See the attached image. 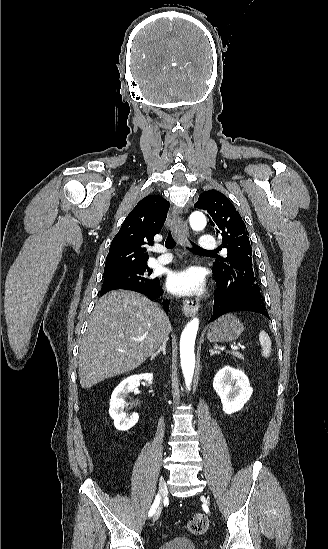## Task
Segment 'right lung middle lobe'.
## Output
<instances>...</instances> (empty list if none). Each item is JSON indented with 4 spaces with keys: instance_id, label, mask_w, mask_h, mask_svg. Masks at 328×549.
I'll list each match as a JSON object with an SVG mask.
<instances>
[{
    "instance_id": "obj_1",
    "label": "right lung middle lobe",
    "mask_w": 328,
    "mask_h": 549,
    "mask_svg": "<svg viewBox=\"0 0 328 549\" xmlns=\"http://www.w3.org/2000/svg\"><path fill=\"white\" fill-rule=\"evenodd\" d=\"M151 273L146 264L104 272L101 295L115 289L147 288L157 280L151 277Z\"/></svg>"
}]
</instances>
